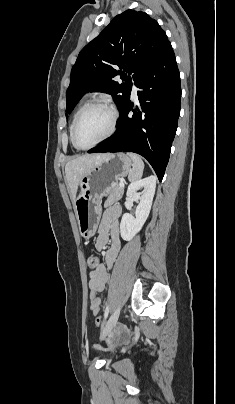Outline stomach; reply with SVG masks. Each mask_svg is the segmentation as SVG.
<instances>
[{
    "label": "stomach",
    "mask_w": 235,
    "mask_h": 404,
    "mask_svg": "<svg viewBox=\"0 0 235 404\" xmlns=\"http://www.w3.org/2000/svg\"><path fill=\"white\" fill-rule=\"evenodd\" d=\"M131 166L132 160L127 154L110 153L80 180L74 209L83 238L95 235L102 213V197L114 182L130 173Z\"/></svg>",
    "instance_id": "1"
}]
</instances>
